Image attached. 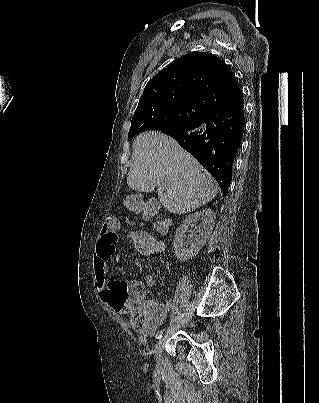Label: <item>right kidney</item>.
<instances>
[{"label":"right kidney","mask_w":319,"mask_h":403,"mask_svg":"<svg viewBox=\"0 0 319 403\" xmlns=\"http://www.w3.org/2000/svg\"><path fill=\"white\" fill-rule=\"evenodd\" d=\"M196 224H200L199 232L186 237L189 227ZM214 225L215 213L211 209H204L189 215L175 233L173 247L177 259L185 262L198 254L209 239Z\"/></svg>","instance_id":"1"}]
</instances>
